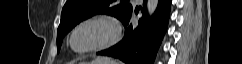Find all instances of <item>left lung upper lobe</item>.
Listing matches in <instances>:
<instances>
[{"mask_svg": "<svg viewBox=\"0 0 242 64\" xmlns=\"http://www.w3.org/2000/svg\"><path fill=\"white\" fill-rule=\"evenodd\" d=\"M131 0H67L57 30L58 52L63 37L79 22L96 14H108L123 20L132 11Z\"/></svg>", "mask_w": 242, "mask_h": 64, "instance_id": "5c2ea615", "label": "left lung upper lobe"}]
</instances>
